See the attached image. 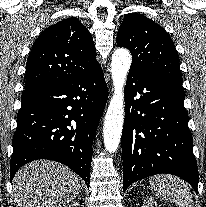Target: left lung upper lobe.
Masks as SVG:
<instances>
[{
    "label": "left lung upper lobe",
    "mask_w": 206,
    "mask_h": 207,
    "mask_svg": "<svg viewBox=\"0 0 206 207\" xmlns=\"http://www.w3.org/2000/svg\"><path fill=\"white\" fill-rule=\"evenodd\" d=\"M117 45L132 54L130 71L182 85L179 56L169 34L138 13L127 14L117 34Z\"/></svg>",
    "instance_id": "5c2ea615"
}]
</instances>
